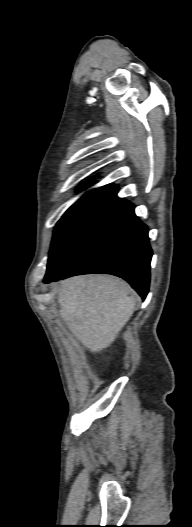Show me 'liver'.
<instances>
[{"label":"liver","mask_w":192,"mask_h":527,"mask_svg":"<svg viewBox=\"0 0 192 527\" xmlns=\"http://www.w3.org/2000/svg\"><path fill=\"white\" fill-rule=\"evenodd\" d=\"M130 287L112 276H76L58 288L60 316L82 345L93 353L109 347L129 321L135 299Z\"/></svg>","instance_id":"6515ba94"}]
</instances>
